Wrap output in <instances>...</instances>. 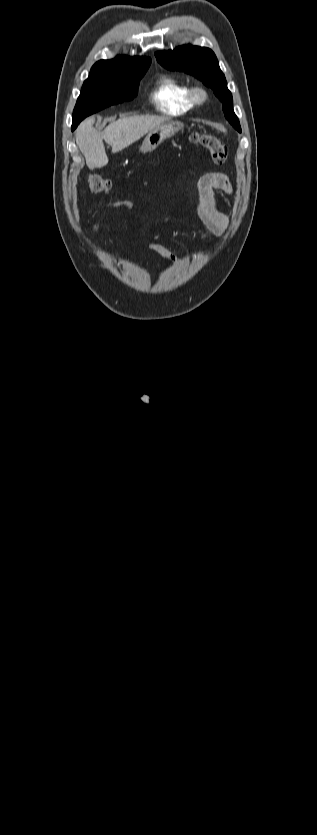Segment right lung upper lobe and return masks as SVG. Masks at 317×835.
Masks as SVG:
<instances>
[{
  "instance_id": "cb5924a9",
  "label": "right lung upper lobe",
  "mask_w": 317,
  "mask_h": 835,
  "mask_svg": "<svg viewBox=\"0 0 317 835\" xmlns=\"http://www.w3.org/2000/svg\"><path fill=\"white\" fill-rule=\"evenodd\" d=\"M150 62L151 59L147 57L117 56L115 59L96 62L91 68L89 76H98L116 71H132L150 64Z\"/></svg>"
}]
</instances>
